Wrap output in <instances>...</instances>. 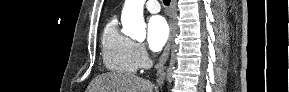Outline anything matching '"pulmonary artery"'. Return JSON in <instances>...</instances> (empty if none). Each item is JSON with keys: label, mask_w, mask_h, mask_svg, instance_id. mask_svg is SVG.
Wrapping results in <instances>:
<instances>
[{"label": "pulmonary artery", "mask_w": 289, "mask_h": 92, "mask_svg": "<svg viewBox=\"0 0 289 92\" xmlns=\"http://www.w3.org/2000/svg\"><path fill=\"white\" fill-rule=\"evenodd\" d=\"M145 8L150 13H158L160 11V5L157 0H148L145 3Z\"/></svg>", "instance_id": "1"}]
</instances>
